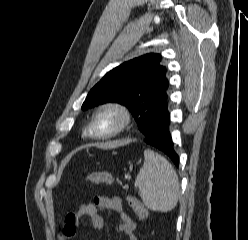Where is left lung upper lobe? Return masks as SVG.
Returning a JSON list of instances; mask_svg holds the SVG:
<instances>
[{
  "label": "left lung upper lobe",
  "instance_id": "left-lung-upper-lobe-1",
  "mask_svg": "<svg viewBox=\"0 0 248 240\" xmlns=\"http://www.w3.org/2000/svg\"><path fill=\"white\" fill-rule=\"evenodd\" d=\"M160 54H146L112 69L90 90L82 109L117 102L132 113L144 133L152 118L168 104L169 81Z\"/></svg>",
  "mask_w": 248,
  "mask_h": 240
}]
</instances>
